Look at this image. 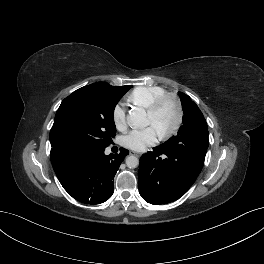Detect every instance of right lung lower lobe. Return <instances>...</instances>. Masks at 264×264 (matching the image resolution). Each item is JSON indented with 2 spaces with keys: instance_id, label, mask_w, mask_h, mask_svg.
<instances>
[{
  "instance_id": "98d812e1",
  "label": "right lung lower lobe",
  "mask_w": 264,
  "mask_h": 264,
  "mask_svg": "<svg viewBox=\"0 0 264 264\" xmlns=\"http://www.w3.org/2000/svg\"><path fill=\"white\" fill-rule=\"evenodd\" d=\"M106 147L75 145L51 149V163L64 189L76 200L99 204L113 194L114 176L128 150L105 155Z\"/></svg>"
}]
</instances>
